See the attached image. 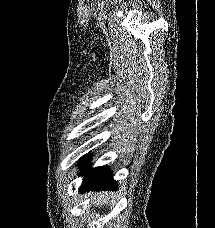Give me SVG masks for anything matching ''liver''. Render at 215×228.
Here are the masks:
<instances>
[{
    "instance_id": "6515ba94",
    "label": "liver",
    "mask_w": 215,
    "mask_h": 228,
    "mask_svg": "<svg viewBox=\"0 0 215 228\" xmlns=\"http://www.w3.org/2000/svg\"><path fill=\"white\" fill-rule=\"evenodd\" d=\"M112 194H114V192H100V194H93V192H91L90 196H92L93 204L103 206V202L110 200ZM104 198H106V200H104Z\"/></svg>"
}]
</instances>
